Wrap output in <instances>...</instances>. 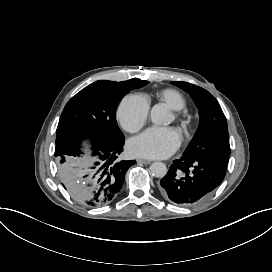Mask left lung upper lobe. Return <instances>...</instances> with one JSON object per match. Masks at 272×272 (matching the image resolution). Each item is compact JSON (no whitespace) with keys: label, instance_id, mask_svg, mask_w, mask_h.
I'll return each mask as SVG.
<instances>
[{"label":"left lung upper lobe","instance_id":"obj_1","mask_svg":"<svg viewBox=\"0 0 272 272\" xmlns=\"http://www.w3.org/2000/svg\"><path fill=\"white\" fill-rule=\"evenodd\" d=\"M194 100L199 127L182 158H214L228 163L230 156L227 121L217 100L205 89L187 82H172Z\"/></svg>","mask_w":272,"mask_h":272}]
</instances>
